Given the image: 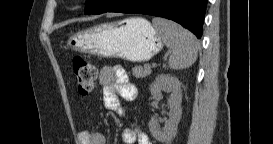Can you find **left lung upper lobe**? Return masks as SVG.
Here are the masks:
<instances>
[{"instance_id":"obj_1","label":"left lung upper lobe","mask_w":273,"mask_h":144,"mask_svg":"<svg viewBox=\"0 0 273 144\" xmlns=\"http://www.w3.org/2000/svg\"><path fill=\"white\" fill-rule=\"evenodd\" d=\"M107 0H90L87 2L85 14H94L99 11Z\"/></svg>"}]
</instances>
